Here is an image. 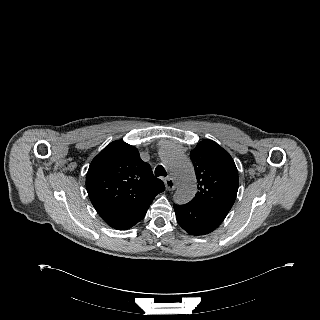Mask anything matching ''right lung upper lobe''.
Instances as JSON below:
<instances>
[{
    "mask_svg": "<svg viewBox=\"0 0 320 320\" xmlns=\"http://www.w3.org/2000/svg\"><path fill=\"white\" fill-rule=\"evenodd\" d=\"M86 189L106 223L147 212L155 196L165 187L153 176L138 149L121 140L106 146L91 162Z\"/></svg>",
    "mask_w": 320,
    "mask_h": 320,
    "instance_id": "1",
    "label": "right lung upper lobe"
}]
</instances>
